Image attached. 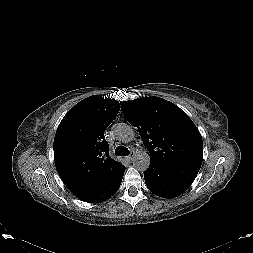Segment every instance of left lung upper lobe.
<instances>
[{"mask_svg":"<svg viewBox=\"0 0 253 253\" xmlns=\"http://www.w3.org/2000/svg\"><path fill=\"white\" fill-rule=\"evenodd\" d=\"M123 115L138 128L150 160H182L201 165L202 137L189 116L159 97L121 102Z\"/></svg>","mask_w":253,"mask_h":253,"instance_id":"left-lung-upper-lobe-1","label":"left lung upper lobe"}]
</instances>
